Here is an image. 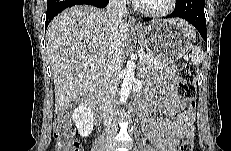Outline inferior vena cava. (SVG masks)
<instances>
[{
  "instance_id": "1",
  "label": "inferior vena cava",
  "mask_w": 231,
  "mask_h": 151,
  "mask_svg": "<svg viewBox=\"0 0 231 151\" xmlns=\"http://www.w3.org/2000/svg\"><path fill=\"white\" fill-rule=\"evenodd\" d=\"M128 0H110L106 15L111 22L113 29L120 27L128 16L126 7ZM120 56L115 53L107 62L103 77V88L101 93L103 124L107 134V140L111 142L112 137L116 134V101L115 96L118 88V71L120 69Z\"/></svg>"
}]
</instances>
